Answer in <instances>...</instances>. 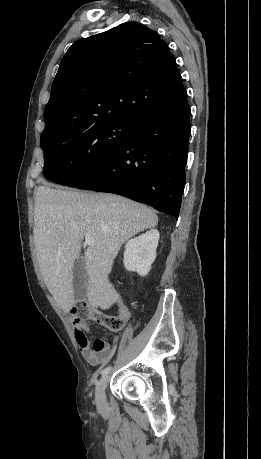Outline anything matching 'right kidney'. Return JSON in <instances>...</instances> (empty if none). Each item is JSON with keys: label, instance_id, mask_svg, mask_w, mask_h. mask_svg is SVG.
Here are the masks:
<instances>
[{"label": "right kidney", "instance_id": "ca27d5eb", "mask_svg": "<svg viewBox=\"0 0 261 459\" xmlns=\"http://www.w3.org/2000/svg\"><path fill=\"white\" fill-rule=\"evenodd\" d=\"M160 234L158 230L152 229L145 234L130 239L125 245L124 267L128 271L137 272L145 276L151 269V264L156 258Z\"/></svg>", "mask_w": 261, "mask_h": 459}]
</instances>
